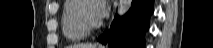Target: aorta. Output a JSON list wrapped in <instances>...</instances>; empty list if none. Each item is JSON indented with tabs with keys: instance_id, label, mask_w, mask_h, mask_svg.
<instances>
[{
	"instance_id": "762f6f07",
	"label": "aorta",
	"mask_w": 213,
	"mask_h": 48,
	"mask_svg": "<svg viewBox=\"0 0 213 48\" xmlns=\"http://www.w3.org/2000/svg\"><path fill=\"white\" fill-rule=\"evenodd\" d=\"M131 5L132 0H119L117 9L118 15L123 16L124 14H126L130 9Z\"/></svg>"
}]
</instances>
